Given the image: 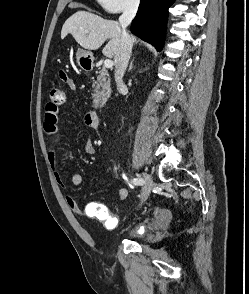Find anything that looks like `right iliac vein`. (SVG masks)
<instances>
[{"label":"right iliac vein","mask_w":249,"mask_h":294,"mask_svg":"<svg viewBox=\"0 0 249 294\" xmlns=\"http://www.w3.org/2000/svg\"><path fill=\"white\" fill-rule=\"evenodd\" d=\"M144 186L142 190L141 206L147 201L152 189V178L149 174L143 173Z\"/></svg>","instance_id":"obj_1"}]
</instances>
